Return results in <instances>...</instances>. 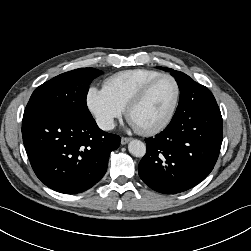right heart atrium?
<instances>
[{
	"instance_id": "obj_1",
	"label": "right heart atrium",
	"mask_w": 251,
	"mask_h": 251,
	"mask_svg": "<svg viewBox=\"0 0 251 251\" xmlns=\"http://www.w3.org/2000/svg\"><path fill=\"white\" fill-rule=\"evenodd\" d=\"M86 103L98 126L104 130L112 129L115 120L124 112V108L104 88L90 87Z\"/></svg>"
}]
</instances>
